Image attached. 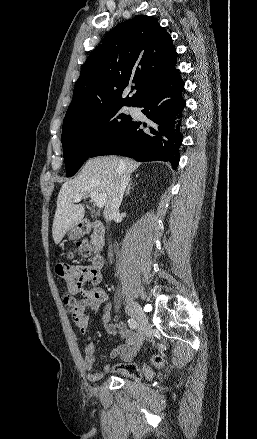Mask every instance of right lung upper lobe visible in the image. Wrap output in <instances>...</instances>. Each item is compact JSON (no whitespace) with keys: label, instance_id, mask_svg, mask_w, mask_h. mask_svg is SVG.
<instances>
[{"label":"right lung upper lobe","instance_id":"right-lung-upper-lobe-1","mask_svg":"<svg viewBox=\"0 0 257 439\" xmlns=\"http://www.w3.org/2000/svg\"><path fill=\"white\" fill-rule=\"evenodd\" d=\"M176 56L171 36L155 18L139 15L119 23L84 63L64 121L110 105L136 106L175 70ZM131 83L136 92L123 99Z\"/></svg>","mask_w":257,"mask_h":439}]
</instances>
